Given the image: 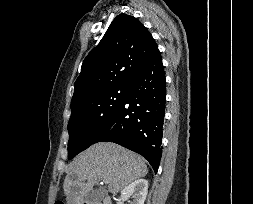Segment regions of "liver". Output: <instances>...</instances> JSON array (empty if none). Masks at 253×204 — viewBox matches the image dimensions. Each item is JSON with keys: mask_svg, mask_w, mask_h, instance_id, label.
Returning a JSON list of instances; mask_svg holds the SVG:
<instances>
[{"mask_svg": "<svg viewBox=\"0 0 253 204\" xmlns=\"http://www.w3.org/2000/svg\"><path fill=\"white\" fill-rule=\"evenodd\" d=\"M148 173L144 159L110 142H100L79 154L70 164L63 189L67 204H83L98 180L112 194Z\"/></svg>", "mask_w": 253, "mask_h": 204, "instance_id": "liver-1", "label": "liver"}]
</instances>
